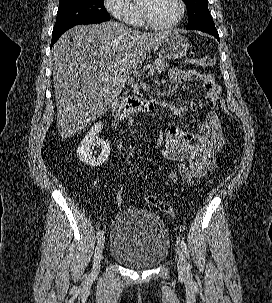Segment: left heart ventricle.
<instances>
[{"instance_id": "1", "label": "left heart ventricle", "mask_w": 272, "mask_h": 303, "mask_svg": "<svg viewBox=\"0 0 272 303\" xmlns=\"http://www.w3.org/2000/svg\"><path fill=\"white\" fill-rule=\"evenodd\" d=\"M149 12L151 19L160 25L172 23L179 15L177 0H141Z\"/></svg>"}]
</instances>
